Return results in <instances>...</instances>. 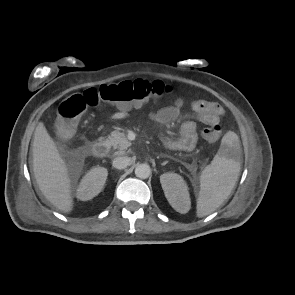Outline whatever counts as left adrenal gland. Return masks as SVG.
I'll return each instance as SVG.
<instances>
[{"instance_id":"left-adrenal-gland-1","label":"left adrenal gland","mask_w":295,"mask_h":295,"mask_svg":"<svg viewBox=\"0 0 295 295\" xmlns=\"http://www.w3.org/2000/svg\"><path fill=\"white\" fill-rule=\"evenodd\" d=\"M164 157H167V158H171V157H169L168 155H163ZM168 163V161H165V162H163L162 163V165H165V164H167Z\"/></svg>"}]
</instances>
